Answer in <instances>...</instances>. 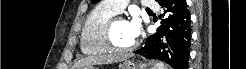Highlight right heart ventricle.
I'll return each mask as SVG.
<instances>
[{
    "label": "right heart ventricle",
    "instance_id": "right-heart-ventricle-1",
    "mask_svg": "<svg viewBox=\"0 0 246 69\" xmlns=\"http://www.w3.org/2000/svg\"><path fill=\"white\" fill-rule=\"evenodd\" d=\"M117 13L106 2H101L87 16L81 37V50L88 55H103L110 51L105 31L110 19Z\"/></svg>",
    "mask_w": 246,
    "mask_h": 69
}]
</instances>
